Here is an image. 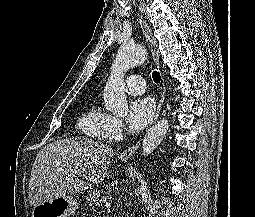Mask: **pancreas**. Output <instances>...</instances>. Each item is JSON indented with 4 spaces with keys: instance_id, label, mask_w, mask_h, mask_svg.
Segmentation results:
<instances>
[{
    "instance_id": "1",
    "label": "pancreas",
    "mask_w": 255,
    "mask_h": 217,
    "mask_svg": "<svg viewBox=\"0 0 255 217\" xmlns=\"http://www.w3.org/2000/svg\"><path fill=\"white\" fill-rule=\"evenodd\" d=\"M100 198V192L98 190H95L86 197V202L89 206H100L102 203Z\"/></svg>"
}]
</instances>
